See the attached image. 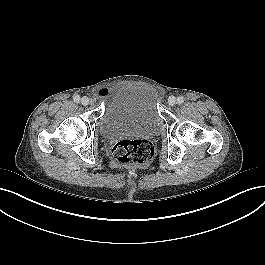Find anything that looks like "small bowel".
<instances>
[{
  "instance_id": "obj_1",
  "label": "small bowel",
  "mask_w": 265,
  "mask_h": 265,
  "mask_svg": "<svg viewBox=\"0 0 265 265\" xmlns=\"http://www.w3.org/2000/svg\"><path fill=\"white\" fill-rule=\"evenodd\" d=\"M111 93V90L109 88H102L98 91V95L100 97H107Z\"/></svg>"
}]
</instances>
